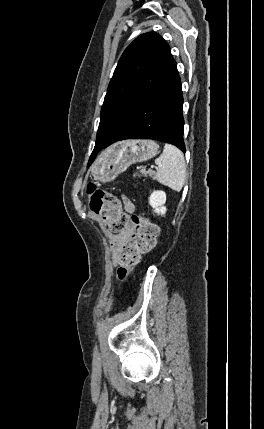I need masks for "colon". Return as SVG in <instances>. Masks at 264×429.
Wrapping results in <instances>:
<instances>
[{"label": "colon", "instance_id": "colon-1", "mask_svg": "<svg viewBox=\"0 0 264 429\" xmlns=\"http://www.w3.org/2000/svg\"><path fill=\"white\" fill-rule=\"evenodd\" d=\"M90 209L101 215L112 233H119L131 227L133 240L122 246L117 254L118 276L125 280L139 264L143 254L150 252L158 236V227L141 215L129 217L121 208L117 196L95 185L88 187Z\"/></svg>", "mask_w": 264, "mask_h": 429}]
</instances>
